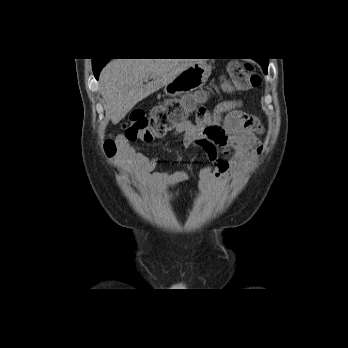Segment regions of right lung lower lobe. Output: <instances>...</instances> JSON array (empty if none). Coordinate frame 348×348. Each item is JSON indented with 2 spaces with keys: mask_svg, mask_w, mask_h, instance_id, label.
<instances>
[{
  "mask_svg": "<svg viewBox=\"0 0 348 348\" xmlns=\"http://www.w3.org/2000/svg\"><path fill=\"white\" fill-rule=\"evenodd\" d=\"M104 65L105 64H93V71H94L96 79H98L99 72L101 71Z\"/></svg>",
  "mask_w": 348,
  "mask_h": 348,
  "instance_id": "98d812e1",
  "label": "right lung lower lobe"
}]
</instances>
